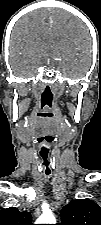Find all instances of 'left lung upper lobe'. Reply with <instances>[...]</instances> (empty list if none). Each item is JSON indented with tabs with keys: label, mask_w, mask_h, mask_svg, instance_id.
Segmentation results:
<instances>
[{
	"label": "left lung upper lobe",
	"mask_w": 101,
	"mask_h": 225,
	"mask_svg": "<svg viewBox=\"0 0 101 225\" xmlns=\"http://www.w3.org/2000/svg\"><path fill=\"white\" fill-rule=\"evenodd\" d=\"M60 225H101V208L92 200H72L61 210Z\"/></svg>",
	"instance_id": "left-lung-upper-lobe-1"
}]
</instances>
